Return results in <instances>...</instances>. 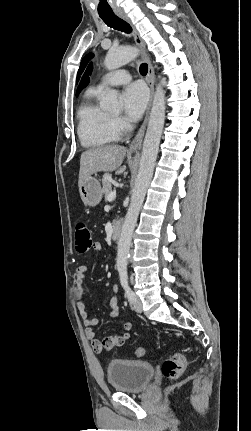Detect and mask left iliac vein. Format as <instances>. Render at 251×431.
<instances>
[{
  "label": "left iliac vein",
  "mask_w": 251,
  "mask_h": 431,
  "mask_svg": "<svg viewBox=\"0 0 251 431\" xmlns=\"http://www.w3.org/2000/svg\"><path fill=\"white\" fill-rule=\"evenodd\" d=\"M132 307L133 309L138 312L141 313L143 310V306H142V301L140 300V298L134 294V300L132 302Z\"/></svg>",
  "instance_id": "left-iliac-vein-1"
}]
</instances>
